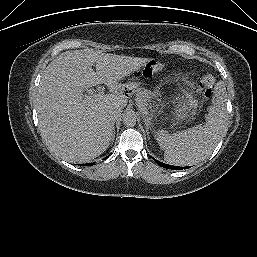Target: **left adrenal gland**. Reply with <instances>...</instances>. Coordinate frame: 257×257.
<instances>
[{
  "label": "left adrenal gland",
  "mask_w": 257,
  "mask_h": 257,
  "mask_svg": "<svg viewBox=\"0 0 257 257\" xmlns=\"http://www.w3.org/2000/svg\"><path fill=\"white\" fill-rule=\"evenodd\" d=\"M145 125H146V129H149V126L151 125V120L148 117H144L143 118Z\"/></svg>",
  "instance_id": "left-adrenal-gland-1"
}]
</instances>
